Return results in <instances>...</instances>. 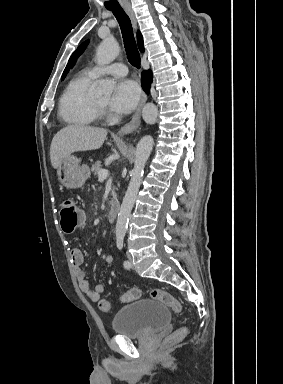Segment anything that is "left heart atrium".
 Masks as SVG:
<instances>
[{"label":"left heart atrium","instance_id":"1","mask_svg":"<svg viewBox=\"0 0 283 384\" xmlns=\"http://www.w3.org/2000/svg\"><path fill=\"white\" fill-rule=\"evenodd\" d=\"M140 90L131 80H120L114 88L109 108L116 113H130L138 103Z\"/></svg>","mask_w":283,"mask_h":384}]
</instances>
